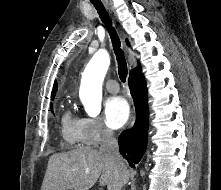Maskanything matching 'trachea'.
Listing matches in <instances>:
<instances>
[{"label": "trachea", "instance_id": "3493384b", "mask_svg": "<svg viewBox=\"0 0 221 190\" xmlns=\"http://www.w3.org/2000/svg\"><path fill=\"white\" fill-rule=\"evenodd\" d=\"M92 3L97 9V12L101 20L107 27V30L110 34L112 44H113V49H114L117 62H118V74H119L120 80L122 82H125L126 77H127V63H126L123 50L120 48L121 42H120L119 36L116 30L114 29V27L112 26V21L110 19L108 12L104 8V5L100 1H93Z\"/></svg>", "mask_w": 221, "mask_h": 190}]
</instances>
